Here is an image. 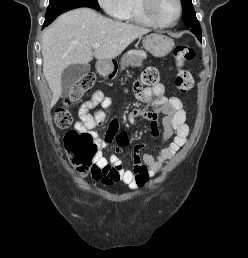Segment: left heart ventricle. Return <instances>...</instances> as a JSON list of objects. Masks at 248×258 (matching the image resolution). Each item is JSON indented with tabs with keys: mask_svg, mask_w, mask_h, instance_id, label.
Here are the masks:
<instances>
[{
	"mask_svg": "<svg viewBox=\"0 0 248 258\" xmlns=\"http://www.w3.org/2000/svg\"><path fill=\"white\" fill-rule=\"evenodd\" d=\"M152 10L159 21L170 23L175 19L178 8L176 0H154Z\"/></svg>",
	"mask_w": 248,
	"mask_h": 258,
	"instance_id": "b2bd125f",
	"label": "left heart ventricle"
}]
</instances>
